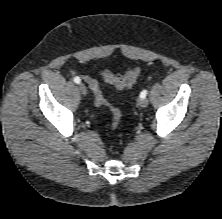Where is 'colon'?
I'll return each instance as SVG.
<instances>
[{"instance_id": "colon-1", "label": "colon", "mask_w": 222, "mask_h": 219, "mask_svg": "<svg viewBox=\"0 0 222 219\" xmlns=\"http://www.w3.org/2000/svg\"><path fill=\"white\" fill-rule=\"evenodd\" d=\"M139 75L140 69L136 66L129 69L124 75H116L107 69L100 71V76L104 79V81L112 84L118 89H124L132 86L137 81ZM90 88L93 91L96 105H109L98 84L91 83ZM110 108L112 114V128L116 129L121 120V111L115 106H111Z\"/></svg>"}]
</instances>
